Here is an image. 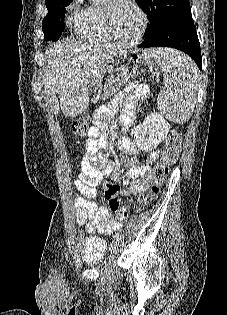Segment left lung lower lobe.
<instances>
[{
  "instance_id": "1",
  "label": "left lung lower lobe",
  "mask_w": 227,
  "mask_h": 315,
  "mask_svg": "<svg viewBox=\"0 0 227 315\" xmlns=\"http://www.w3.org/2000/svg\"><path fill=\"white\" fill-rule=\"evenodd\" d=\"M138 46L142 48L160 46L176 48L187 53L196 62L199 69H202L200 43L191 14L165 22L146 36L144 42Z\"/></svg>"
}]
</instances>
